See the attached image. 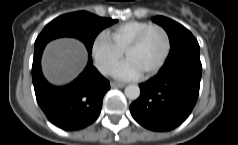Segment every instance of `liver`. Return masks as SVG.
<instances>
[{
  "mask_svg": "<svg viewBox=\"0 0 238 145\" xmlns=\"http://www.w3.org/2000/svg\"><path fill=\"white\" fill-rule=\"evenodd\" d=\"M86 62L87 51L84 45L73 38H62L46 46L42 69L50 83L64 85L78 76Z\"/></svg>",
  "mask_w": 238,
  "mask_h": 145,
  "instance_id": "6515ba94",
  "label": "liver"
}]
</instances>
